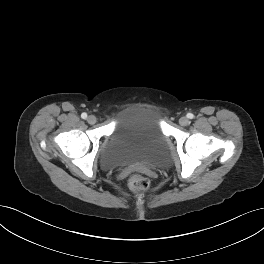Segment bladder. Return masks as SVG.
Masks as SVG:
<instances>
[{"label": "bladder", "mask_w": 264, "mask_h": 264, "mask_svg": "<svg viewBox=\"0 0 264 264\" xmlns=\"http://www.w3.org/2000/svg\"><path fill=\"white\" fill-rule=\"evenodd\" d=\"M169 144L163 132L160 112L139 107L120 118L100 150L101 168L111 170L132 165L159 166L168 159Z\"/></svg>", "instance_id": "1"}]
</instances>
